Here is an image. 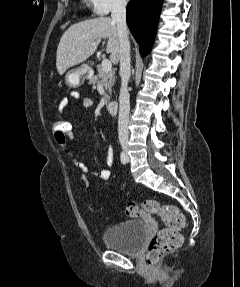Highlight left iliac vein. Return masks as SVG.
I'll return each mask as SVG.
<instances>
[{"mask_svg":"<svg viewBox=\"0 0 240 287\" xmlns=\"http://www.w3.org/2000/svg\"><path fill=\"white\" fill-rule=\"evenodd\" d=\"M126 160H127V162L129 161V156L128 155H126Z\"/></svg>","mask_w":240,"mask_h":287,"instance_id":"1","label":"left iliac vein"}]
</instances>
